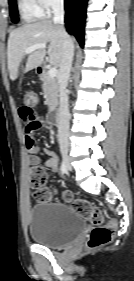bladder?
I'll use <instances>...</instances> for the list:
<instances>
[{
	"mask_svg": "<svg viewBox=\"0 0 134 281\" xmlns=\"http://www.w3.org/2000/svg\"><path fill=\"white\" fill-rule=\"evenodd\" d=\"M29 235L36 243L60 248L86 229V220L74 208L54 202L39 203L29 212Z\"/></svg>",
	"mask_w": 134,
	"mask_h": 281,
	"instance_id": "31cf9c89",
	"label": "bladder"
}]
</instances>
